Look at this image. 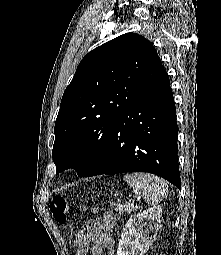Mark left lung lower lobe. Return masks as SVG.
Segmentation results:
<instances>
[{
    "label": "left lung lower lobe",
    "instance_id": "0a47b994",
    "mask_svg": "<svg viewBox=\"0 0 221 255\" xmlns=\"http://www.w3.org/2000/svg\"><path fill=\"white\" fill-rule=\"evenodd\" d=\"M176 108L165 69L116 120L101 154L82 177L149 172L180 189Z\"/></svg>",
    "mask_w": 221,
    "mask_h": 255
}]
</instances>
